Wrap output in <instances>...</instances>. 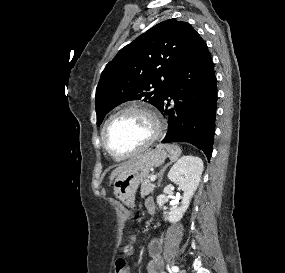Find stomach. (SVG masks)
Wrapping results in <instances>:
<instances>
[{"instance_id": "0dacf381", "label": "stomach", "mask_w": 285, "mask_h": 273, "mask_svg": "<svg viewBox=\"0 0 285 273\" xmlns=\"http://www.w3.org/2000/svg\"><path fill=\"white\" fill-rule=\"evenodd\" d=\"M167 152L162 147L149 150L123 169L114 181V193L126 206L133 207L136 190L153 167L163 164Z\"/></svg>"}]
</instances>
